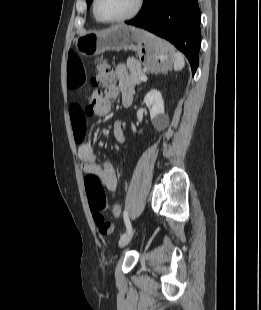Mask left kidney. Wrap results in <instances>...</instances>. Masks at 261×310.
Instances as JSON below:
<instances>
[{"instance_id":"1","label":"left kidney","mask_w":261,"mask_h":310,"mask_svg":"<svg viewBox=\"0 0 261 310\" xmlns=\"http://www.w3.org/2000/svg\"><path fill=\"white\" fill-rule=\"evenodd\" d=\"M144 103L149 108L153 126L157 129L163 128L168 121V117L164 113V101L161 92L156 89L149 91L144 98ZM132 130L136 132L134 124H132Z\"/></svg>"}]
</instances>
